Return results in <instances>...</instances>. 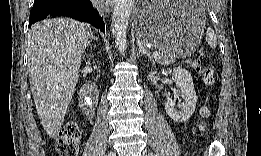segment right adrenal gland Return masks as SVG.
Here are the masks:
<instances>
[{
    "instance_id": "1",
    "label": "right adrenal gland",
    "mask_w": 261,
    "mask_h": 156,
    "mask_svg": "<svg viewBox=\"0 0 261 156\" xmlns=\"http://www.w3.org/2000/svg\"><path fill=\"white\" fill-rule=\"evenodd\" d=\"M98 39H99L98 37L92 36L91 41H92V40H96V41H98ZM91 41L89 42V44L91 43Z\"/></svg>"
}]
</instances>
